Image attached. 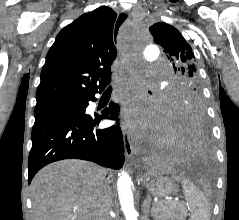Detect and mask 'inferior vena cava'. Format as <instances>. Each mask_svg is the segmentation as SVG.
Instances as JSON below:
<instances>
[{"label":"inferior vena cava","instance_id":"obj_1","mask_svg":"<svg viewBox=\"0 0 239 220\" xmlns=\"http://www.w3.org/2000/svg\"><path fill=\"white\" fill-rule=\"evenodd\" d=\"M112 205V193L107 184H104L103 190L99 199V214L97 220H111L109 217V211Z\"/></svg>","mask_w":239,"mask_h":220}]
</instances>
